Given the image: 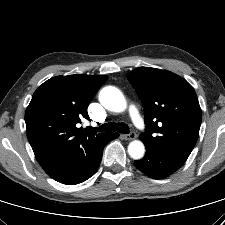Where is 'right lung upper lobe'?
Instances as JSON below:
<instances>
[{
    "label": "right lung upper lobe",
    "instance_id": "cb5924a9",
    "mask_svg": "<svg viewBox=\"0 0 225 225\" xmlns=\"http://www.w3.org/2000/svg\"><path fill=\"white\" fill-rule=\"evenodd\" d=\"M106 79L105 75L56 76L33 94L25 113L26 131L45 172H51L70 156L89 154L108 134L77 128L83 119L89 120L87 107Z\"/></svg>",
    "mask_w": 225,
    "mask_h": 225
}]
</instances>
